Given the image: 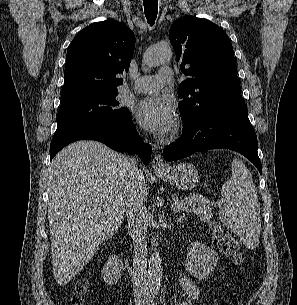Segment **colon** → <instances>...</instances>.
<instances>
[{
	"label": "colon",
	"instance_id": "5ec220e1",
	"mask_svg": "<svg viewBox=\"0 0 297 305\" xmlns=\"http://www.w3.org/2000/svg\"><path fill=\"white\" fill-rule=\"evenodd\" d=\"M214 241L223 254L231 258L236 263L244 261V254L241 251L239 242L220 226H215L213 233ZM87 286L79 283L76 286V295L72 297L70 305H83L82 295L86 293Z\"/></svg>",
	"mask_w": 297,
	"mask_h": 305
}]
</instances>
